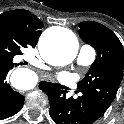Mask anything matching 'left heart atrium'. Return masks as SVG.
<instances>
[{
  "instance_id": "left-heart-atrium-1",
  "label": "left heart atrium",
  "mask_w": 124,
  "mask_h": 124,
  "mask_svg": "<svg viewBox=\"0 0 124 124\" xmlns=\"http://www.w3.org/2000/svg\"><path fill=\"white\" fill-rule=\"evenodd\" d=\"M58 79L62 83H68L70 81V79H71V76H70L69 73L63 72V73L59 74Z\"/></svg>"
}]
</instances>
